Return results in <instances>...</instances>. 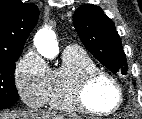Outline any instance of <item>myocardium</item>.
<instances>
[{"label": "myocardium", "instance_id": "obj_1", "mask_svg": "<svg viewBox=\"0 0 142 119\" xmlns=\"http://www.w3.org/2000/svg\"><path fill=\"white\" fill-rule=\"evenodd\" d=\"M108 80L116 89L118 94L117 103L109 110H96L88 103L87 95L91 86L98 80ZM69 98L76 109L82 113L94 116H108L114 114L123 104V91L120 83L110 73L95 69L81 74L76 78L69 89Z\"/></svg>", "mask_w": 142, "mask_h": 119}]
</instances>
